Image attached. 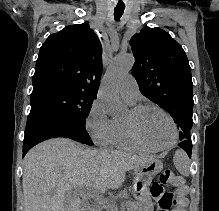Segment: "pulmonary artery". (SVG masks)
<instances>
[{
	"label": "pulmonary artery",
	"mask_w": 219,
	"mask_h": 211,
	"mask_svg": "<svg viewBox=\"0 0 219 211\" xmlns=\"http://www.w3.org/2000/svg\"><path fill=\"white\" fill-rule=\"evenodd\" d=\"M122 98L129 104H134L139 95V87L131 74L125 75L119 87Z\"/></svg>",
	"instance_id": "1"
}]
</instances>
